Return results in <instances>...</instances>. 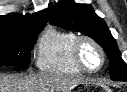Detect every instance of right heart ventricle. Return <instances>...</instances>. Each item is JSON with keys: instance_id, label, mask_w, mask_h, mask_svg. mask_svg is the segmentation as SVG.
Segmentation results:
<instances>
[{"instance_id": "1", "label": "right heart ventricle", "mask_w": 127, "mask_h": 92, "mask_svg": "<svg viewBox=\"0 0 127 92\" xmlns=\"http://www.w3.org/2000/svg\"><path fill=\"white\" fill-rule=\"evenodd\" d=\"M78 35L71 30L50 26L41 35L36 51V67L45 73L78 75L81 70L72 58V48Z\"/></svg>"}]
</instances>
